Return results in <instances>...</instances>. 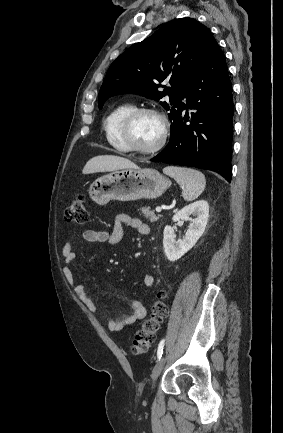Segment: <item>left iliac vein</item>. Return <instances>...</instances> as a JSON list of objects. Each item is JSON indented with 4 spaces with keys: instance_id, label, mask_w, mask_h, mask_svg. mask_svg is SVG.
Returning <instances> with one entry per match:
<instances>
[{
    "instance_id": "1",
    "label": "left iliac vein",
    "mask_w": 283,
    "mask_h": 433,
    "mask_svg": "<svg viewBox=\"0 0 283 433\" xmlns=\"http://www.w3.org/2000/svg\"><path fill=\"white\" fill-rule=\"evenodd\" d=\"M165 361H166V356L162 357L157 362V364L154 366V369H153V372H152V376H151L152 377V382H155L156 379H157V377L160 375V373H161V371H162V369L164 367Z\"/></svg>"
}]
</instances>
